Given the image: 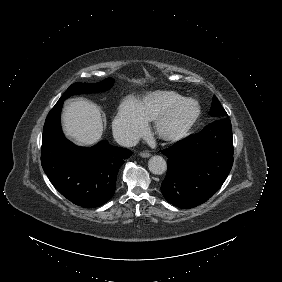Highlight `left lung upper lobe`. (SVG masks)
<instances>
[{
    "instance_id": "obj_1",
    "label": "left lung upper lobe",
    "mask_w": 282,
    "mask_h": 282,
    "mask_svg": "<svg viewBox=\"0 0 282 282\" xmlns=\"http://www.w3.org/2000/svg\"><path fill=\"white\" fill-rule=\"evenodd\" d=\"M210 115L216 118L227 117V113L219 103L216 96L213 97L212 107L210 109Z\"/></svg>"
}]
</instances>
